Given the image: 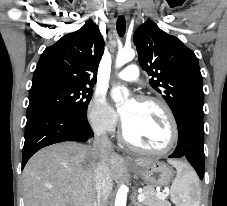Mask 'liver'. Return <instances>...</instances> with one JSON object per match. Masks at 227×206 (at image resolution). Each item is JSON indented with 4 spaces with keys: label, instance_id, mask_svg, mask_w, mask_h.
I'll use <instances>...</instances> for the list:
<instances>
[{
    "label": "liver",
    "instance_id": "6515ba94",
    "mask_svg": "<svg viewBox=\"0 0 227 206\" xmlns=\"http://www.w3.org/2000/svg\"><path fill=\"white\" fill-rule=\"evenodd\" d=\"M97 161L91 146L73 142L38 151L22 174L25 206H93ZM135 161L141 166L153 162L151 159ZM107 167L112 180H118L125 172L124 159L111 152Z\"/></svg>",
    "mask_w": 227,
    "mask_h": 206
}]
</instances>
